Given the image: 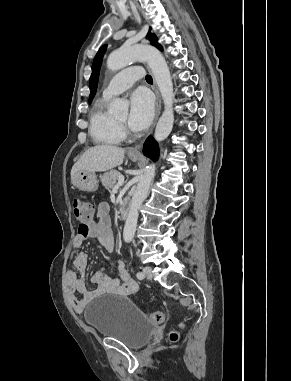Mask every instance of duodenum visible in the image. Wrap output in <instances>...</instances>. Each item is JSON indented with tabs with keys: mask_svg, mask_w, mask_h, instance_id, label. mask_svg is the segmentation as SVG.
<instances>
[{
	"mask_svg": "<svg viewBox=\"0 0 291 381\" xmlns=\"http://www.w3.org/2000/svg\"><path fill=\"white\" fill-rule=\"evenodd\" d=\"M129 208H130V202L129 201H125L124 200V201L121 202V205H120V208H119V212H120V216L123 219H126L128 217Z\"/></svg>",
	"mask_w": 291,
	"mask_h": 381,
	"instance_id": "duodenum-1",
	"label": "duodenum"
}]
</instances>
